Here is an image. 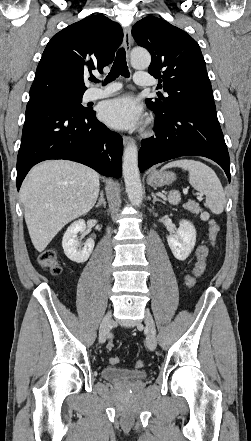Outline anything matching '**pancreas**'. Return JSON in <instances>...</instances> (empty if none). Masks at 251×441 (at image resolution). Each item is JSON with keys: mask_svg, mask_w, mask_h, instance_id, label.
<instances>
[{"mask_svg": "<svg viewBox=\"0 0 251 441\" xmlns=\"http://www.w3.org/2000/svg\"><path fill=\"white\" fill-rule=\"evenodd\" d=\"M183 207L186 210L192 212L193 214H199L201 212V208H200L199 204L196 202H193V201L184 204Z\"/></svg>", "mask_w": 251, "mask_h": 441, "instance_id": "obj_1", "label": "pancreas"}]
</instances>
